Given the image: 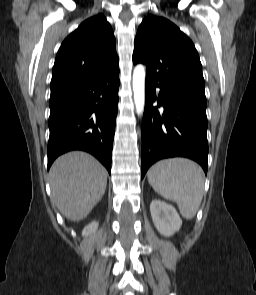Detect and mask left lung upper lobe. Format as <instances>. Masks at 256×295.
Segmentation results:
<instances>
[{
	"label": "left lung upper lobe",
	"mask_w": 256,
	"mask_h": 295,
	"mask_svg": "<svg viewBox=\"0 0 256 295\" xmlns=\"http://www.w3.org/2000/svg\"><path fill=\"white\" fill-rule=\"evenodd\" d=\"M134 64L168 93L206 103L202 65L192 41L169 20L148 15L134 42Z\"/></svg>",
	"instance_id": "5c2ea615"
}]
</instances>
